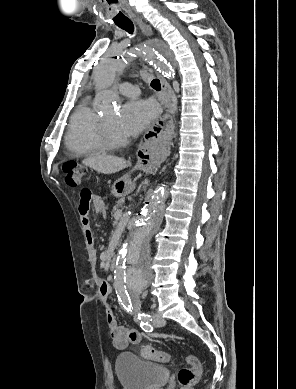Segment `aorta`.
I'll list each match as a JSON object with an SVG mask.
<instances>
[{
  "label": "aorta",
  "mask_w": 296,
  "mask_h": 389,
  "mask_svg": "<svg viewBox=\"0 0 296 389\" xmlns=\"http://www.w3.org/2000/svg\"><path fill=\"white\" fill-rule=\"evenodd\" d=\"M146 62L148 66H156L165 76L172 77V67L153 49H128L125 53H108L103 56L94 70L95 85L98 89L97 101L100 107L111 106L113 95L108 88L119 73L125 68L127 61ZM167 189L158 186L145 204L142 215L138 217L129 237L120 247L115 265V286L125 298L139 294L146 289L152 280L153 269L150 258V242L160 226L164 211Z\"/></svg>",
  "instance_id": "762f6f07"
}]
</instances>
